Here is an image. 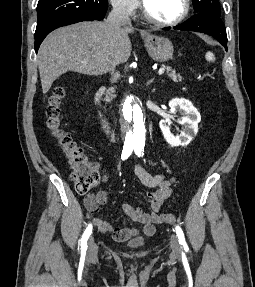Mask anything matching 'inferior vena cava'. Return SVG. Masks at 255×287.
Segmentation results:
<instances>
[{
    "mask_svg": "<svg viewBox=\"0 0 255 287\" xmlns=\"http://www.w3.org/2000/svg\"><path fill=\"white\" fill-rule=\"evenodd\" d=\"M106 24H110L113 28H120V26H125V24H131L128 6L124 4L123 0L114 2L113 8L106 20ZM115 68L116 66H112L111 68L113 78H116Z\"/></svg>",
    "mask_w": 255,
    "mask_h": 287,
    "instance_id": "inferior-vena-cava-1",
    "label": "inferior vena cava"
}]
</instances>
